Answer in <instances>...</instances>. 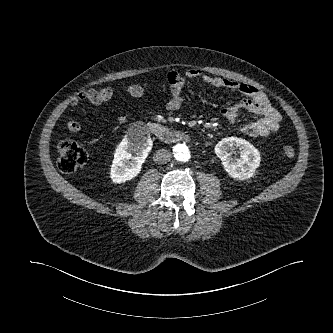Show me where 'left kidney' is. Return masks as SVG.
Instances as JSON below:
<instances>
[{
	"mask_svg": "<svg viewBox=\"0 0 333 333\" xmlns=\"http://www.w3.org/2000/svg\"><path fill=\"white\" fill-rule=\"evenodd\" d=\"M239 148L240 157L232 156V150ZM217 157L222 160L226 172L234 179L251 178L260 164V152L252 144L242 138H223L215 146Z\"/></svg>",
	"mask_w": 333,
	"mask_h": 333,
	"instance_id": "obj_1",
	"label": "left kidney"
}]
</instances>
